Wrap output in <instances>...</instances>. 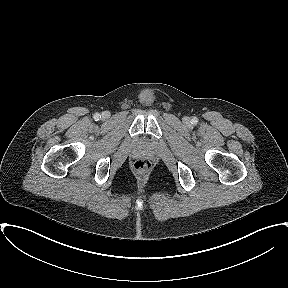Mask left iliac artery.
<instances>
[{"label": "left iliac artery", "mask_w": 288, "mask_h": 288, "mask_svg": "<svg viewBox=\"0 0 288 288\" xmlns=\"http://www.w3.org/2000/svg\"><path fill=\"white\" fill-rule=\"evenodd\" d=\"M198 122V119L196 118V117H194L193 119H192V124H196Z\"/></svg>", "instance_id": "obj_1"}]
</instances>
